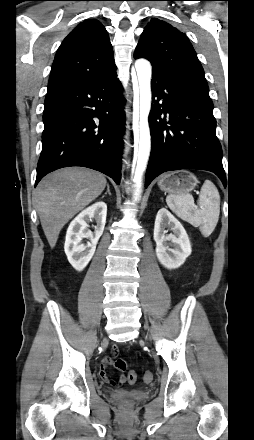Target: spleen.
Returning a JSON list of instances; mask_svg holds the SVG:
<instances>
[{"mask_svg": "<svg viewBox=\"0 0 254 440\" xmlns=\"http://www.w3.org/2000/svg\"><path fill=\"white\" fill-rule=\"evenodd\" d=\"M169 208L182 220L194 227H199L204 237H209L214 231L220 214V195L214 183L205 180L198 206L194 204V198L189 193L168 195L166 198Z\"/></svg>", "mask_w": 254, "mask_h": 440, "instance_id": "spleen-1", "label": "spleen"}]
</instances>
